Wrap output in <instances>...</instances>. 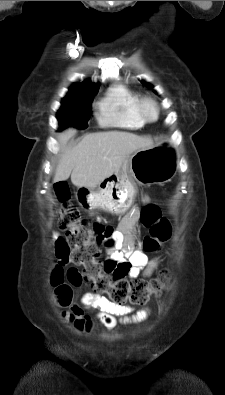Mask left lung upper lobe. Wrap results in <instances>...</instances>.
I'll list each match as a JSON object with an SVG mask.
<instances>
[{
  "mask_svg": "<svg viewBox=\"0 0 225 395\" xmlns=\"http://www.w3.org/2000/svg\"><path fill=\"white\" fill-rule=\"evenodd\" d=\"M144 83V82H142ZM147 87L152 88V86L150 84L144 83Z\"/></svg>",
  "mask_w": 225,
  "mask_h": 395,
  "instance_id": "obj_1",
  "label": "left lung upper lobe"
}]
</instances>
